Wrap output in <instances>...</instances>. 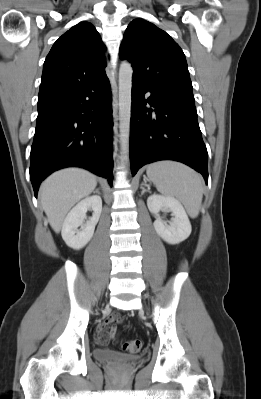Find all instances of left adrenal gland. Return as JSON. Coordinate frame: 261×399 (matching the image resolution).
I'll use <instances>...</instances> for the list:
<instances>
[{"instance_id": "obj_1", "label": "left adrenal gland", "mask_w": 261, "mask_h": 399, "mask_svg": "<svg viewBox=\"0 0 261 399\" xmlns=\"http://www.w3.org/2000/svg\"><path fill=\"white\" fill-rule=\"evenodd\" d=\"M145 187H147V189H145ZM141 189H142V194L146 191L150 192V186L147 185L146 182L141 185Z\"/></svg>"}]
</instances>
